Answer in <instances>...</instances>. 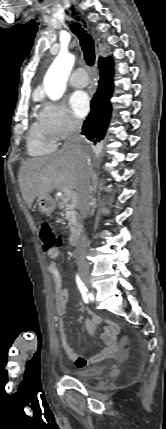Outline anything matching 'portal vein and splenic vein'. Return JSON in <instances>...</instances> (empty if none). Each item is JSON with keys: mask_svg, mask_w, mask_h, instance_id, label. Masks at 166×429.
<instances>
[{"mask_svg": "<svg viewBox=\"0 0 166 429\" xmlns=\"http://www.w3.org/2000/svg\"><path fill=\"white\" fill-rule=\"evenodd\" d=\"M62 191L64 193V198L66 200H69L70 198H72L74 196L72 190L69 188H64V189H62Z\"/></svg>", "mask_w": 166, "mask_h": 429, "instance_id": "1", "label": "portal vein and splenic vein"}]
</instances>
